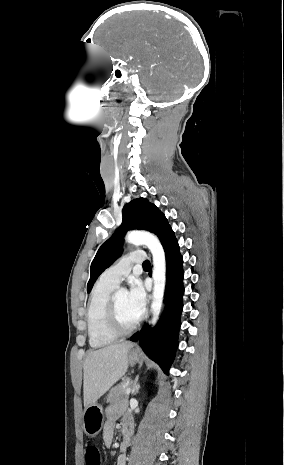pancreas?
I'll use <instances>...</instances> for the list:
<instances>
[{
  "instance_id": "obj_1",
  "label": "pancreas",
  "mask_w": 284,
  "mask_h": 465,
  "mask_svg": "<svg viewBox=\"0 0 284 465\" xmlns=\"http://www.w3.org/2000/svg\"><path fill=\"white\" fill-rule=\"evenodd\" d=\"M127 389H130V383H128V379H125V381H122L120 385L113 387V389L109 391V403H117V401H121V399H128V395H126Z\"/></svg>"
}]
</instances>
